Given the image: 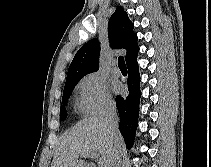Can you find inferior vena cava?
<instances>
[{
    "label": "inferior vena cava",
    "instance_id": "inferior-vena-cava-1",
    "mask_svg": "<svg viewBox=\"0 0 211 167\" xmlns=\"http://www.w3.org/2000/svg\"><path fill=\"white\" fill-rule=\"evenodd\" d=\"M118 116L116 112L115 105H110L107 108L106 115H105V122L108 126L109 132L112 134V136L116 137L118 131ZM121 151L117 150L115 153L114 161L112 162V167H120L121 165Z\"/></svg>",
    "mask_w": 211,
    "mask_h": 167
}]
</instances>
